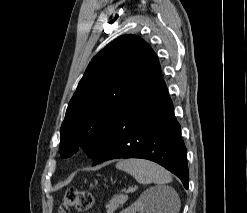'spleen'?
<instances>
[{"mask_svg":"<svg viewBox=\"0 0 247 213\" xmlns=\"http://www.w3.org/2000/svg\"><path fill=\"white\" fill-rule=\"evenodd\" d=\"M116 168L132 175L140 184L154 183L163 185L172 180L171 174L167 170L148 160L125 159L119 161L116 164ZM172 204L175 205V213H177L180 207L177 196L173 198Z\"/></svg>","mask_w":247,"mask_h":213,"instance_id":"spleen-1","label":"spleen"}]
</instances>
